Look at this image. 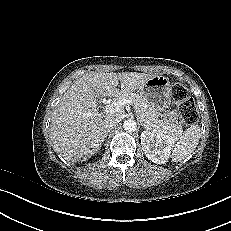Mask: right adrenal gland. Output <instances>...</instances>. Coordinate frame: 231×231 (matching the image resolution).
Returning <instances> with one entry per match:
<instances>
[{
	"label": "right adrenal gland",
	"instance_id": "obj_1",
	"mask_svg": "<svg viewBox=\"0 0 231 231\" xmlns=\"http://www.w3.org/2000/svg\"><path fill=\"white\" fill-rule=\"evenodd\" d=\"M109 132H110V131H107V132H106L105 137H107V136H108Z\"/></svg>",
	"mask_w": 231,
	"mask_h": 231
}]
</instances>
